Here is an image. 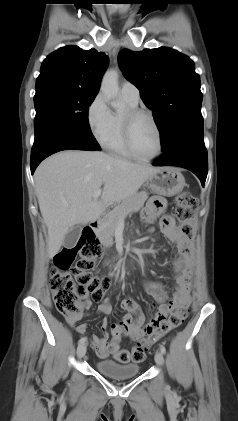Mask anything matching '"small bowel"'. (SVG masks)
Here are the masks:
<instances>
[{"label":"small bowel","instance_id":"c3829d8e","mask_svg":"<svg viewBox=\"0 0 238 421\" xmlns=\"http://www.w3.org/2000/svg\"><path fill=\"white\" fill-rule=\"evenodd\" d=\"M166 202L162 197L151 198L142 214L145 223H151L165 209ZM161 230L167 240L176 247V257L174 267L176 270L175 292L167 302L168 296L163 290L161 284L157 282H146L145 289L151 294L157 302V308L150 321L143 325L144 316L140 312L137 302L126 297L121 302V307L127 312L121 322L115 323L111 327V339L107 330L108 322L103 318L100 323L101 335L91 337V346L101 358L114 355L120 348V340L123 336H128L132 340H139L143 337L151 336L159 331L160 326L166 320L169 312L173 309H186L191 303V279L193 272V246L180 230L176 227L173 218L164 216L160 222ZM91 306L87 300L86 308ZM153 308V306L151 307ZM112 311L111 305L106 301L97 307V313L100 315H109ZM82 315L75 318H67L68 323L80 334H85L86 324H77Z\"/></svg>","mask_w":238,"mask_h":421}]
</instances>
